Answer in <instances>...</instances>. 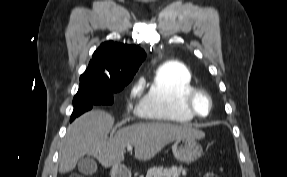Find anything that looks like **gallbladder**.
Wrapping results in <instances>:
<instances>
[{
  "instance_id": "bac80fb5",
  "label": "gallbladder",
  "mask_w": 287,
  "mask_h": 177,
  "mask_svg": "<svg viewBox=\"0 0 287 177\" xmlns=\"http://www.w3.org/2000/svg\"><path fill=\"white\" fill-rule=\"evenodd\" d=\"M78 170L84 175H93L97 171V163L91 156H84L78 161Z\"/></svg>"
}]
</instances>
